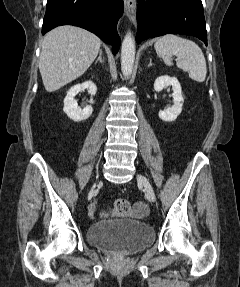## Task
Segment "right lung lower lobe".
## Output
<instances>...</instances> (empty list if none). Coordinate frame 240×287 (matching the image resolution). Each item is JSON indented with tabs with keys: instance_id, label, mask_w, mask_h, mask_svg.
<instances>
[{
	"instance_id": "right-lung-lower-lobe-1",
	"label": "right lung lower lobe",
	"mask_w": 240,
	"mask_h": 287,
	"mask_svg": "<svg viewBox=\"0 0 240 287\" xmlns=\"http://www.w3.org/2000/svg\"><path fill=\"white\" fill-rule=\"evenodd\" d=\"M123 14V0H48L42 34L60 25H75L111 44L113 54L121 39L116 26Z\"/></svg>"
}]
</instances>
